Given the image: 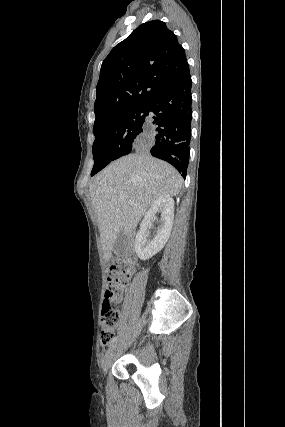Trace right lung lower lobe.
Wrapping results in <instances>:
<instances>
[{"label": "right lung lower lobe", "instance_id": "1", "mask_svg": "<svg viewBox=\"0 0 285 427\" xmlns=\"http://www.w3.org/2000/svg\"><path fill=\"white\" fill-rule=\"evenodd\" d=\"M191 86L189 72L178 83L155 95L148 102L143 131L153 138L149 153L173 165L183 178L186 177L190 153Z\"/></svg>", "mask_w": 285, "mask_h": 427}]
</instances>
